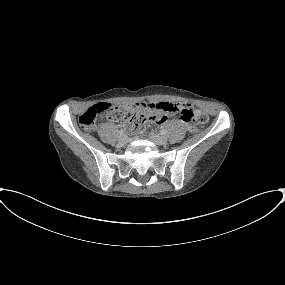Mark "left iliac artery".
<instances>
[{"instance_id": "1", "label": "left iliac artery", "mask_w": 285, "mask_h": 285, "mask_svg": "<svg viewBox=\"0 0 285 285\" xmlns=\"http://www.w3.org/2000/svg\"><path fill=\"white\" fill-rule=\"evenodd\" d=\"M160 132L162 135H166V133H167V131L165 129H162Z\"/></svg>"}]
</instances>
